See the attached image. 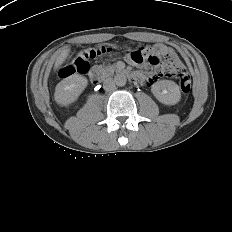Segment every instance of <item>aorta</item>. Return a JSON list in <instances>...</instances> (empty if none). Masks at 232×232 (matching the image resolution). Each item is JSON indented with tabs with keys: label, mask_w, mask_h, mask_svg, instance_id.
I'll use <instances>...</instances> for the list:
<instances>
[{
	"label": "aorta",
	"mask_w": 232,
	"mask_h": 232,
	"mask_svg": "<svg viewBox=\"0 0 232 232\" xmlns=\"http://www.w3.org/2000/svg\"><path fill=\"white\" fill-rule=\"evenodd\" d=\"M115 84L119 87L125 86L127 82V78L124 74H118L114 78Z\"/></svg>",
	"instance_id": "762f6f07"
}]
</instances>
